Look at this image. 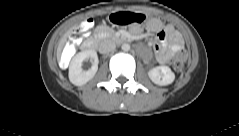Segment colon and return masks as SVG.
<instances>
[{
  "label": "colon",
  "instance_id": "1",
  "mask_svg": "<svg viewBox=\"0 0 239 136\" xmlns=\"http://www.w3.org/2000/svg\"><path fill=\"white\" fill-rule=\"evenodd\" d=\"M91 24H92V23H91V20H87V21L84 23V25H83L81 31H82V30H87V29L91 26ZM64 52H65L66 54H73V53L75 52V49H74V47H73V45H72L71 42H68V43H67V45H66L65 48H64ZM185 58H186V54H185L184 51H180V52L176 55V57H175V59H174V62H173V67H174L175 71L180 72V71L183 69Z\"/></svg>",
  "mask_w": 239,
  "mask_h": 136
}]
</instances>
